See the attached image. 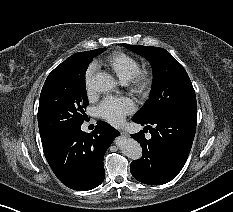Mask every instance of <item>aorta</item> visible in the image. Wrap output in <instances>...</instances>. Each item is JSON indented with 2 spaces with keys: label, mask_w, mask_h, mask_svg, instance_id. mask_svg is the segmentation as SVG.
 I'll use <instances>...</instances> for the list:
<instances>
[{
  "label": "aorta",
  "mask_w": 233,
  "mask_h": 212,
  "mask_svg": "<svg viewBox=\"0 0 233 212\" xmlns=\"http://www.w3.org/2000/svg\"><path fill=\"white\" fill-rule=\"evenodd\" d=\"M116 85L115 79L107 73H98L91 81V88L99 93L113 91ZM116 144L128 158L138 160L142 157V148L136 140L122 136L116 139Z\"/></svg>",
  "instance_id": "1"
}]
</instances>
